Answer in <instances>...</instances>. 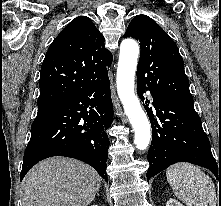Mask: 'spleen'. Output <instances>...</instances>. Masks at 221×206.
I'll list each match as a JSON object with an SVG mask.
<instances>
[{
  "label": "spleen",
  "mask_w": 221,
  "mask_h": 206,
  "mask_svg": "<svg viewBox=\"0 0 221 206\" xmlns=\"http://www.w3.org/2000/svg\"><path fill=\"white\" fill-rule=\"evenodd\" d=\"M175 196L187 206H216L218 197L212 179L200 168L177 163L166 171Z\"/></svg>",
  "instance_id": "3e777b00"
}]
</instances>
